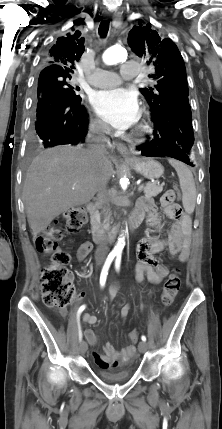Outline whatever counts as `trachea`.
Returning a JSON list of instances; mask_svg holds the SVG:
<instances>
[{"label":"trachea","mask_w":222,"mask_h":429,"mask_svg":"<svg viewBox=\"0 0 222 429\" xmlns=\"http://www.w3.org/2000/svg\"><path fill=\"white\" fill-rule=\"evenodd\" d=\"M99 35L101 38H105L107 36L109 30V20L101 21L99 26Z\"/></svg>","instance_id":"3493384b"}]
</instances>
